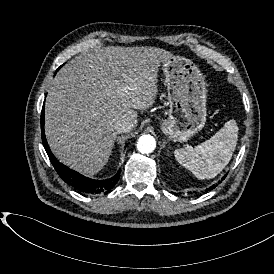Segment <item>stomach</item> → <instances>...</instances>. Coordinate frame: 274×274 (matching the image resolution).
Masks as SVG:
<instances>
[{"label":"stomach","mask_w":274,"mask_h":274,"mask_svg":"<svg viewBox=\"0 0 274 274\" xmlns=\"http://www.w3.org/2000/svg\"><path fill=\"white\" fill-rule=\"evenodd\" d=\"M170 109L158 123L172 142H188L206 126L207 89L204 76L190 60L173 56L163 64Z\"/></svg>","instance_id":"stomach-1"}]
</instances>
